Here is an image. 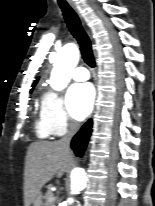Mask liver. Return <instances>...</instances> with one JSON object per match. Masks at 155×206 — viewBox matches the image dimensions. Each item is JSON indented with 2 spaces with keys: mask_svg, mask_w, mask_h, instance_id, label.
Listing matches in <instances>:
<instances>
[{
  "mask_svg": "<svg viewBox=\"0 0 155 206\" xmlns=\"http://www.w3.org/2000/svg\"><path fill=\"white\" fill-rule=\"evenodd\" d=\"M72 154L60 141L34 142L28 147L24 170V204L30 206L41 188L70 167Z\"/></svg>",
  "mask_w": 155,
  "mask_h": 206,
  "instance_id": "1",
  "label": "liver"
}]
</instances>
